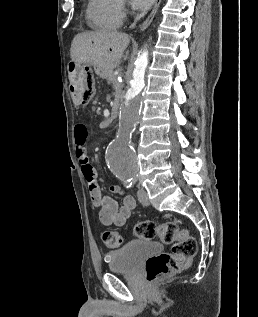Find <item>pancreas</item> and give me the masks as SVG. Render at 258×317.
<instances>
[{
	"label": "pancreas",
	"mask_w": 258,
	"mask_h": 317,
	"mask_svg": "<svg viewBox=\"0 0 258 317\" xmlns=\"http://www.w3.org/2000/svg\"><path fill=\"white\" fill-rule=\"evenodd\" d=\"M110 85L115 93H120L122 91V84L119 83L116 77H111L109 79Z\"/></svg>",
	"instance_id": "1"
}]
</instances>
